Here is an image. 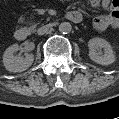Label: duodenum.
I'll return each instance as SVG.
<instances>
[{"label":"duodenum","instance_id":"410a0bca","mask_svg":"<svg viewBox=\"0 0 119 119\" xmlns=\"http://www.w3.org/2000/svg\"><path fill=\"white\" fill-rule=\"evenodd\" d=\"M66 18L74 23H79L82 20V15L79 12H69L66 14ZM14 36L17 40H25L28 36V32L25 28H18Z\"/></svg>","mask_w":119,"mask_h":119}]
</instances>
